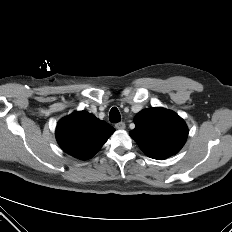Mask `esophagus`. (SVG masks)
I'll return each instance as SVG.
<instances>
[{"instance_id":"esophagus-1","label":"esophagus","mask_w":232,"mask_h":232,"mask_svg":"<svg viewBox=\"0 0 232 232\" xmlns=\"http://www.w3.org/2000/svg\"><path fill=\"white\" fill-rule=\"evenodd\" d=\"M115 127L118 130H123V129H125L126 125L124 122H119V123L115 124Z\"/></svg>"}]
</instances>
